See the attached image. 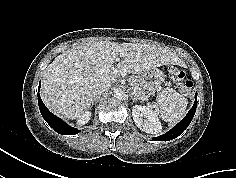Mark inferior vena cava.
Segmentation results:
<instances>
[{
  "label": "inferior vena cava",
  "instance_id": "1",
  "mask_svg": "<svg viewBox=\"0 0 236 178\" xmlns=\"http://www.w3.org/2000/svg\"><path fill=\"white\" fill-rule=\"evenodd\" d=\"M111 86V82H106L103 84H99L97 85L94 89H93V95L95 97L100 96L102 93H104L109 87Z\"/></svg>",
  "mask_w": 236,
  "mask_h": 178
}]
</instances>
